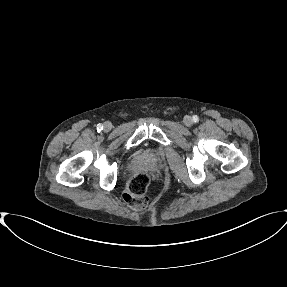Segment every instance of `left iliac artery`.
<instances>
[{
  "label": "left iliac artery",
  "instance_id": "1",
  "mask_svg": "<svg viewBox=\"0 0 287 287\" xmlns=\"http://www.w3.org/2000/svg\"><path fill=\"white\" fill-rule=\"evenodd\" d=\"M192 119H193V121H194L195 123L199 121V118H198L197 115H194V116L192 117Z\"/></svg>",
  "mask_w": 287,
  "mask_h": 287
}]
</instances>
